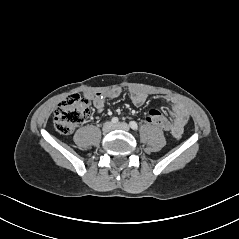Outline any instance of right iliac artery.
I'll use <instances>...</instances> for the list:
<instances>
[{"instance_id":"obj_1","label":"right iliac artery","mask_w":239,"mask_h":239,"mask_svg":"<svg viewBox=\"0 0 239 239\" xmlns=\"http://www.w3.org/2000/svg\"><path fill=\"white\" fill-rule=\"evenodd\" d=\"M111 121H112V123L116 124V123H118L119 120L117 117H113Z\"/></svg>"}]
</instances>
